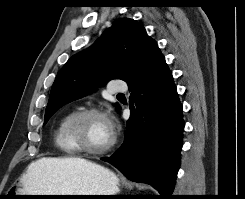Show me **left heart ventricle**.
Segmentation results:
<instances>
[{
  "instance_id": "1",
  "label": "left heart ventricle",
  "mask_w": 245,
  "mask_h": 199,
  "mask_svg": "<svg viewBox=\"0 0 245 199\" xmlns=\"http://www.w3.org/2000/svg\"><path fill=\"white\" fill-rule=\"evenodd\" d=\"M112 137L109 121L101 116H90L80 128L79 138L87 146L97 149L106 146Z\"/></svg>"
}]
</instances>
